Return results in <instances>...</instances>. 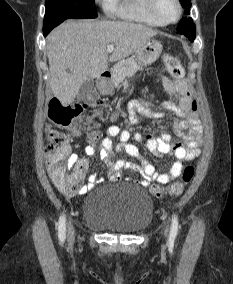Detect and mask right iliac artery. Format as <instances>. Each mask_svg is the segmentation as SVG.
Returning a JSON list of instances; mask_svg holds the SVG:
<instances>
[{"instance_id": "1", "label": "right iliac artery", "mask_w": 233, "mask_h": 284, "mask_svg": "<svg viewBox=\"0 0 233 284\" xmlns=\"http://www.w3.org/2000/svg\"><path fill=\"white\" fill-rule=\"evenodd\" d=\"M58 237L60 242H64L66 237V220L64 215L60 217L58 222Z\"/></svg>"}]
</instances>
